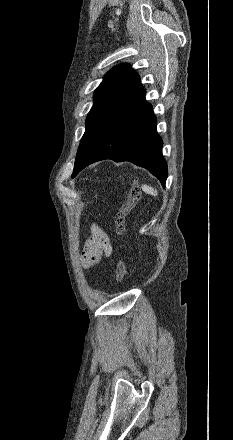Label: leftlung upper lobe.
<instances>
[{
	"instance_id": "obj_1",
	"label": "left lung upper lobe",
	"mask_w": 233,
	"mask_h": 440,
	"mask_svg": "<svg viewBox=\"0 0 233 440\" xmlns=\"http://www.w3.org/2000/svg\"><path fill=\"white\" fill-rule=\"evenodd\" d=\"M142 91L139 75L128 64L115 66L105 75L94 94L95 102L86 119L74 170L85 160L115 117Z\"/></svg>"
}]
</instances>
